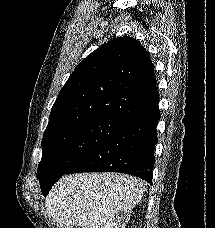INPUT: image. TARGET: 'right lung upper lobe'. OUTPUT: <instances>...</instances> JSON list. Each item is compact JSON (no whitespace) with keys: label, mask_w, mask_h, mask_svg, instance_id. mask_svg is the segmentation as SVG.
<instances>
[{"label":"right lung upper lobe","mask_w":215,"mask_h":228,"mask_svg":"<svg viewBox=\"0 0 215 228\" xmlns=\"http://www.w3.org/2000/svg\"><path fill=\"white\" fill-rule=\"evenodd\" d=\"M158 102L149 53L132 37L115 38L72 72L52 106L44 134L100 116L128 122L148 114Z\"/></svg>","instance_id":"1"}]
</instances>
